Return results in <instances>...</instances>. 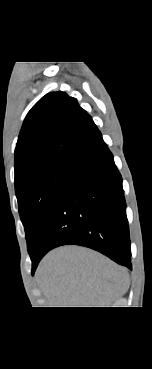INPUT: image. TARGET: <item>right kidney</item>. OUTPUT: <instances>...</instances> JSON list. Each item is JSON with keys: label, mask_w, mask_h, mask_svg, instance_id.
Instances as JSON below:
<instances>
[{"label": "right kidney", "mask_w": 152, "mask_h": 369, "mask_svg": "<svg viewBox=\"0 0 152 369\" xmlns=\"http://www.w3.org/2000/svg\"><path fill=\"white\" fill-rule=\"evenodd\" d=\"M117 304H118V302H116V303H115V305H113V306H114V307H118V305H117Z\"/></svg>", "instance_id": "obj_1"}]
</instances>
